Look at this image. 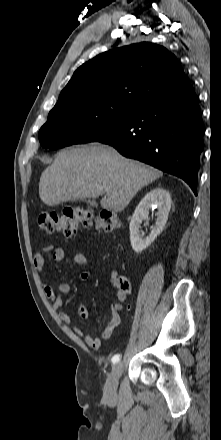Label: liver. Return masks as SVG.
Listing matches in <instances>:
<instances>
[{
  "instance_id": "liver-1",
  "label": "liver",
  "mask_w": 221,
  "mask_h": 440,
  "mask_svg": "<svg viewBox=\"0 0 221 440\" xmlns=\"http://www.w3.org/2000/svg\"><path fill=\"white\" fill-rule=\"evenodd\" d=\"M161 175L158 169L96 143L60 151L40 177L39 196L46 205L55 206L106 194L101 207L120 212Z\"/></svg>"
}]
</instances>
